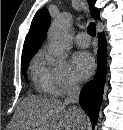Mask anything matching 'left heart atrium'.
<instances>
[{"mask_svg":"<svg viewBox=\"0 0 123 130\" xmlns=\"http://www.w3.org/2000/svg\"><path fill=\"white\" fill-rule=\"evenodd\" d=\"M72 66L76 76L83 80L92 74L95 68V61L90 53L81 51L73 55Z\"/></svg>","mask_w":123,"mask_h":130,"instance_id":"39dd6f15","label":"left heart atrium"}]
</instances>
